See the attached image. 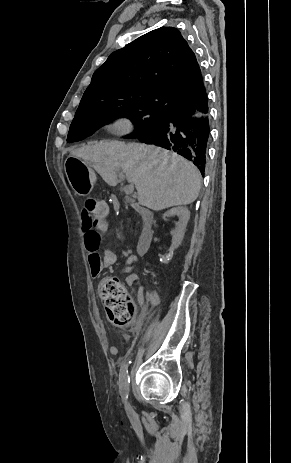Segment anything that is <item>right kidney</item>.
Returning <instances> with one entry per match:
<instances>
[{
    "label": "right kidney",
    "mask_w": 291,
    "mask_h": 463,
    "mask_svg": "<svg viewBox=\"0 0 291 463\" xmlns=\"http://www.w3.org/2000/svg\"><path fill=\"white\" fill-rule=\"evenodd\" d=\"M172 216H178L179 221L176 223L175 229L171 232L172 244L170 246V252H173L181 244L187 223L190 219V212L185 207H176L164 213V218Z\"/></svg>",
    "instance_id": "1"
}]
</instances>
